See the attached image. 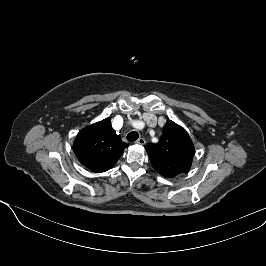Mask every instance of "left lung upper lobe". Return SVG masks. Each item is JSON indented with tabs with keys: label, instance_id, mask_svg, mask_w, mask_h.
<instances>
[{
	"label": "left lung upper lobe",
	"instance_id": "1",
	"mask_svg": "<svg viewBox=\"0 0 266 266\" xmlns=\"http://www.w3.org/2000/svg\"><path fill=\"white\" fill-rule=\"evenodd\" d=\"M152 166L162 176L173 178L191 167L194 145L186 130L168 121L157 144L146 146Z\"/></svg>",
	"mask_w": 266,
	"mask_h": 266
}]
</instances>
